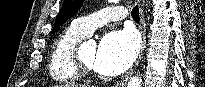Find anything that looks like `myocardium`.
<instances>
[{
    "label": "myocardium",
    "instance_id": "f54148a6",
    "mask_svg": "<svg viewBox=\"0 0 205 87\" xmlns=\"http://www.w3.org/2000/svg\"><path fill=\"white\" fill-rule=\"evenodd\" d=\"M73 61L75 64L76 69L79 72V75L82 77L92 76L94 74V70L92 67L87 65L81 57L80 54V47L76 46L73 52Z\"/></svg>",
    "mask_w": 205,
    "mask_h": 87
}]
</instances>
